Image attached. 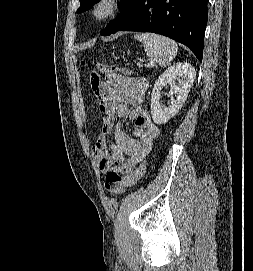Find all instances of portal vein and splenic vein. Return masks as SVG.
<instances>
[{"instance_id": "portal-vein-and-splenic-vein-1", "label": "portal vein and splenic vein", "mask_w": 253, "mask_h": 271, "mask_svg": "<svg viewBox=\"0 0 253 271\" xmlns=\"http://www.w3.org/2000/svg\"><path fill=\"white\" fill-rule=\"evenodd\" d=\"M154 65V62H151L150 64H147L145 65L146 67H150V66H153ZM138 66H142V64L138 63Z\"/></svg>"}]
</instances>
